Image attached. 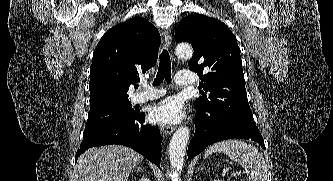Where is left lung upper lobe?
<instances>
[{"label":"left lung upper lobe","mask_w":333,"mask_h":181,"mask_svg":"<svg viewBox=\"0 0 333 181\" xmlns=\"http://www.w3.org/2000/svg\"><path fill=\"white\" fill-rule=\"evenodd\" d=\"M177 42L191 43L194 55L189 69L202 78L207 96L194 106L217 108L254 121L244 84V74L237 39L221 21L201 14L182 20L176 30Z\"/></svg>","instance_id":"obj_1"}]
</instances>
